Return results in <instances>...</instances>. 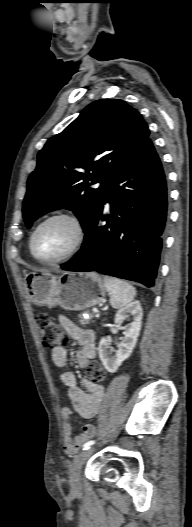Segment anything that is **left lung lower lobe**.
Here are the masks:
<instances>
[{"label":"left lung lower lobe","instance_id":"obj_1","mask_svg":"<svg viewBox=\"0 0 192 527\" xmlns=\"http://www.w3.org/2000/svg\"><path fill=\"white\" fill-rule=\"evenodd\" d=\"M106 202L111 210L107 215ZM167 205L164 170L148 140L111 182L81 249L62 269L97 271L154 286Z\"/></svg>","mask_w":192,"mask_h":527}]
</instances>
